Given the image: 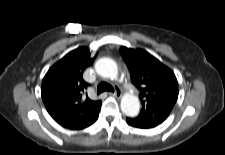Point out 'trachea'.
Wrapping results in <instances>:
<instances>
[{
	"mask_svg": "<svg viewBox=\"0 0 225 155\" xmlns=\"http://www.w3.org/2000/svg\"><path fill=\"white\" fill-rule=\"evenodd\" d=\"M105 91L114 92V88L106 82H101L97 87V93L100 94Z\"/></svg>",
	"mask_w": 225,
	"mask_h": 155,
	"instance_id": "3493384b",
	"label": "trachea"
}]
</instances>
